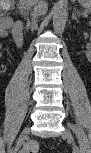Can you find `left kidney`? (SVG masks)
<instances>
[{
    "label": "left kidney",
    "instance_id": "left-kidney-1",
    "mask_svg": "<svg viewBox=\"0 0 91 153\" xmlns=\"http://www.w3.org/2000/svg\"><path fill=\"white\" fill-rule=\"evenodd\" d=\"M86 56H87L88 59L90 58V56H91V52H90L89 50L86 51Z\"/></svg>",
    "mask_w": 91,
    "mask_h": 153
}]
</instances>
